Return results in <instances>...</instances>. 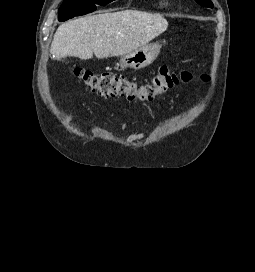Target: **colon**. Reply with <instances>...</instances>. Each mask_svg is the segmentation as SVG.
Here are the masks:
<instances>
[{"mask_svg": "<svg viewBox=\"0 0 255 272\" xmlns=\"http://www.w3.org/2000/svg\"><path fill=\"white\" fill-rule=\"evenodd\" d=\"M75 76L85 88L104 98L124 96L129 100L151 101L156 96L166 92L180 82L193 78L188 70L176 69L169 65L161 66L151 82L138 83L136 80L122 74L96 73L88 69H76ZM204 79L207 76H203Z\"/></svg>", "mask_w": 255, "mask_h": 272, "instance_id": "5ec220e1", "label": "colon"}]
</instances>
